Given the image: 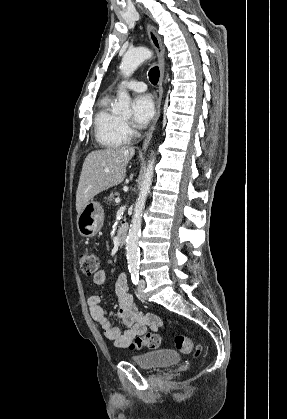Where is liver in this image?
Instances as JSON below:
<instances>
[{
  "instance_id": "6515ba94",
  "label": "liver",
  "mask_w": 287,
  "mask_h": 419,
  "mask_svg": "<svg viewBox=\"0 0 287 419\" xmlns=\"http://www.w3.org/2000/svg\"><path fill=\"white\" fill-rule=\"evenodd\" d=\"M134 154L131 147H112L86 156L76 192L78 214L93 197L124 180L127 164Z\"/></svg>"
}]
</instances>
